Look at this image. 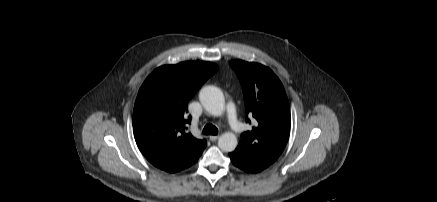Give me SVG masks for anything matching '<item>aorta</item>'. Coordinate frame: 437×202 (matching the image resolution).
I'll use <instances>...</instances> for the list:
<instances>
[{
  "mask_svg": "<svg viewBox=\"0 0 437 202\" xmlns=\"http://www.w3.org/2000/svg\"><path fill=\"white\" fill-rule=\"evenodd\" d=\"M199 100L204 109L214 116H220L225 110V98L222 91L215 86H205L200 90ZM234 133H223L218 139V146L224 152H232L237 147Z\"/></svg>",
  "mask_w": 437,
  "mask_h": 202,
  "instance_id": "762f6f07",
  "label": "aorta"
}]
</instances>
